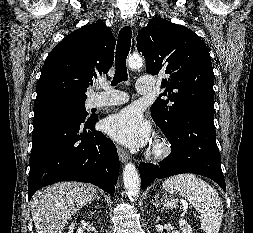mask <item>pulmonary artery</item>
Wrapping results in <instances>:
<instances>
[{
  "label": "pulmonary artery",
  "instance_id": "1",
  "mask_svg": "<svg viewBox=\"0 0 253 233\" xmlns=\"http://www.w3.org/2000/svg\"><path fill=\"white\" fill-rule=\"evenodd\" d=\"M104 92L98 93L92 101L93 107L114 106L124 104L128 101V96L121 91L115 90L105 84H102ZM154 80L152 78L141 76L137 80V92L140 94H149L153 91Z\"/></svg>",
  "mask_w": 253,
  "mask_h": 233
}]
</instances>
